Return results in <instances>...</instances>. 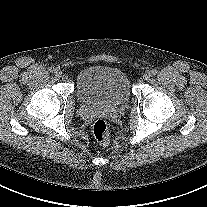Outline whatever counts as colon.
I'll use <instances>...</instances> for the list:
<instances>
[{
    "label": "colon",
    "instance_id": "1",
    "mask_svg": "<svg viewBox=\"0 0 207 207\" xmlns=\"http://www.w3.org/2000/svg\"><path fill=\"white\" fill-rule=\"evenodd\" d=\"M93 134L98 142L105 145L109 143V128L107 122L104 119L99 118L94 122Z\"/></svg>",
    "mask_w": 207,
    "mask_h": 207
}]
</instances>
